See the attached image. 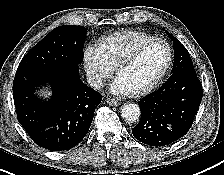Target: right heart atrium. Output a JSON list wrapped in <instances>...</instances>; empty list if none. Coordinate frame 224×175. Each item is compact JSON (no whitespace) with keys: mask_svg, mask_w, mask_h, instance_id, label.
Returning a JSON list of instances; mask_svg holds the SVG:
<instances>
[{"mask_svg":"<svg viewBox=\"0 0 224 175\" xmlns=\"http://www.w3.org/2000/svg\"><path fill=\"white\" fill-rule=\"evenodd\" d=\"M84 65L89 81L95 88H100L114 71V67L108 62L98 47L89 46L86 48Z\"/></svg>","mask_w":224,"mask_h":175,"instance_id":"obj_1","label":"right heart atrium"}]
</instances>
